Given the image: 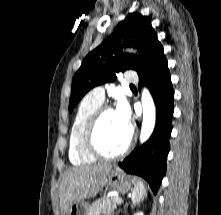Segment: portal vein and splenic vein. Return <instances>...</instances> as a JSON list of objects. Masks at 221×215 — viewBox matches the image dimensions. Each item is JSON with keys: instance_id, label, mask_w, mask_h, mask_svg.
Masks as SVG:
<instances>
[{"instance_id": "1", "label": "portal vein and splenic vein", "mask_w": 221, "mask_h": 215, "mask_svg": "<svg viewBox=\"0 0 221 215\" xmlns=\"http://www.w3.org/2000/svg\"><path fill=\"white\" fill-rule=\"evenodd\" d=\"M122 202H123V201H122L121 198H117V199H116V203L121 204Z\"/></svg>"}]
</instances>
